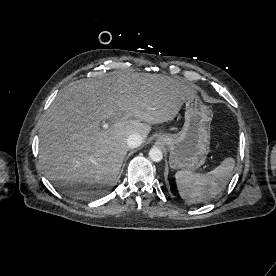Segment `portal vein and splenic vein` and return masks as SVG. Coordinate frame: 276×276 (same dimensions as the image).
Here are the masks:
<instances>
[{
    "mask_svg": "<svg viewBox=\"0 0 276 276\" xmlns=\"http://www.w3.org/2000/svg\"><path fill=\"white\" fill-rule=\"evenodd\" d=\"M108 126H109V125H108L107 123H104V124H103V128H104V129H107Z\"/></svg>",
    "mask_w": 276,
    "mask_h": 276,
    "instance_id": "obj_1",
    "label": "portal vein and splenic vein"
}]
</instances>
